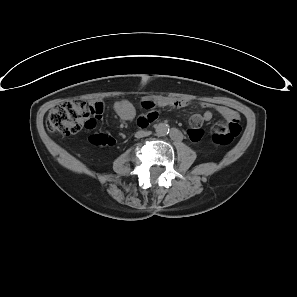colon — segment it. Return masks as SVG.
Here are the masks:
<instances>
[{
    "mask_svg": "<svg viewBox=\"0 0 297 297\" xmlns=\"http://www.w3.org/2000/svg\"><path fill=\"white\" fill-rule=\"evenodd\" d=\"M103 104L96 101L71 100L55 106L48 114L47 128L54 133L64 135L76 134L83 129L92 130L102 117ZM241 125L239 117L220 120L211 128L213 141L219 145L230 144L239 135ZM89 141L97 146L114 144L108 134L96 132Z\"/></svg>",
    "mask_w": 297,
    "mask_h": 297,
    "instance_id": "obj_1",
    "label": "colon"
}]
</instances>
